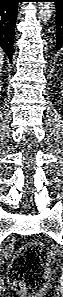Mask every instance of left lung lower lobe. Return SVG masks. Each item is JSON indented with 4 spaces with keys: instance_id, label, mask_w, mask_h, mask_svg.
Returning <instances> with one entry per match:
<instances>
[{
    "instance_id": "obj_1",
    "label": "left lung lower lobe",
    "mask_w": 63,
    "mask_h": 297,
    "mask_svg": "<svg viewBox=\"0 0 63 297\" xmlns=\"http://www.w3.org/2000/svg\"><path fill=\"white\" fill-rule=\"evenodd\" d=\"M56 2V51L63 47V0H51Z\"/></svg>"
}]
</instances>
